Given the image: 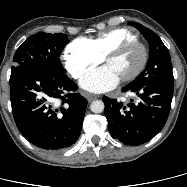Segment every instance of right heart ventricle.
Listing matches in <instances>:
<instances>
[{
	"label": "right heart ventricle",
	"instance_id": "e07e8e85",
	"mask_svg": "<svg viewBox=\"0 0 187 187\" xmlns=\"http://www.w3.org/2000/svg\"><path fill=\"white\" fill-rule=\"evenodd\" d=\"M131 40H138V38L134 33L125 28L104 31L93 38L87 39L93 50L102 58L114 47Z\"/></svg>",
	"mask_w": 187,
	"mask_h": 187
}]
</instances>
